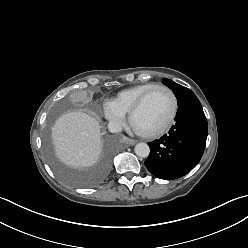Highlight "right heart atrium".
<instances>
[{"mask_svg":"<svg viewBox=\"0 0 248 248\" xmlns=\"http://www.w3.org/2000/svg\"><path fill=\"white\" fill-rule=\"evenodd\" d=\"M105 117L115 125H121L124 122V115L120 113L111 103L104 106Z\"/></svg>","mask_w":248,"mask_h":248,"instance_id":"1","label":"right heart atrium"}]
</instances>
